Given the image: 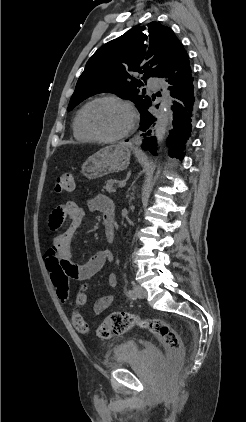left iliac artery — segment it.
Wrapping results in <instances>:
<instances>
[{
    "mask_svg": "<svg viewBox=\"0 0 246 422\" xmlns=\"http://www.w3.org/2000/svg\"><path fill=\"white\" fill-rule=\"evenodd\" d=\"M127 294L131 299H135L137 297L134 290H128Z\"/></svg>",
    "mask_w": 246,
    "mask_h": 422,
    "instance_id": "obj_1",
    "label": "left iliac artery"
}]
</instances>
